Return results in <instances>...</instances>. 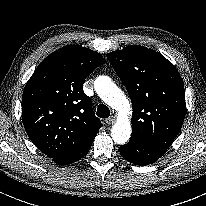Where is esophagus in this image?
Here are the masks:
<instances>
[{"mask_svg":"<svg viewBox=\"0 0 206 206\" xmlns=\"http://www.w3.org/2000/svg\"><path fill=\"white\" fill-rule=\"evenodd\" d=\"M105 122H106L108 125H111V124H113V123L115 122V118H114L113 116H111V117L107 118V119L105 120Z\"/></svg>","mask_w":206,"mask_h":206,"instance_id":"esophagus-1","label":"esophagus"}]
</instances>
